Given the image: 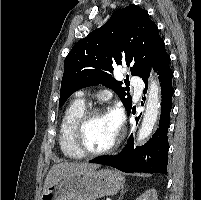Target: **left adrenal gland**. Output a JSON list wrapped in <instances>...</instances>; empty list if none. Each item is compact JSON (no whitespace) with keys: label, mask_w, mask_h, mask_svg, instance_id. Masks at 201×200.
Instances as JSON below:
<instances>
[{"label":"left adrenal gland","mask_w":201,"mask_h":200,"mask_svg":"<svg viewBox=\"0 0 201 200\" xmlns=\"http://www.w3.org/2000/svg\"><path fill=\"white\" fill-rule=\"evenodd\" d=\"M127 191V189L123 190L118 198V200H121L122 196L124 195V193Z\"/></svg>","instance_id":"1"}]
</instances>
